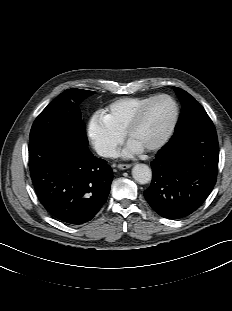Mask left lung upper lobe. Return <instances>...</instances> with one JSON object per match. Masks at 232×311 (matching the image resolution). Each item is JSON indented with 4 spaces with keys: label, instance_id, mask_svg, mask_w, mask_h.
<instances>
[{
    "label": "left lung upper lobe",
    "instance_id": "obj_1",
    "mask_svg": "<svg viewBox=\"0 0 232 311\" xmlns=\"http://www.w3.org/2000/svg\"><path fill=\"white\" fill-rule=\"evenodd\" d=\"M175 91L182 104V114L179 117L176 129L188 122L209 117L205 109L189 93L177 87H175Z\"/></svg>",
    "mask_w": 232,
    "mask_h": 311
}]
</instances>
